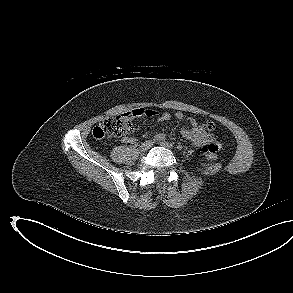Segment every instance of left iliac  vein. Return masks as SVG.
Instances as JSON below:
<instances>
[{"label":"left iliac vein","instance_id":"4c4485c4","mask_svg":"<svg viewBox=\"0 0 293 293\" xmlns=\"http://www.w3.org/2000/svg\"><path fill=\"white\" fill-rule=\"evenodd\" d=\"M160 145H161L162 147H164V148H167V149H172V148H173L172 144H170V143H168V142H166V141H162V142H160Z\"/></svg>","mask_w":293,"mask_h":293}]
</instances>
